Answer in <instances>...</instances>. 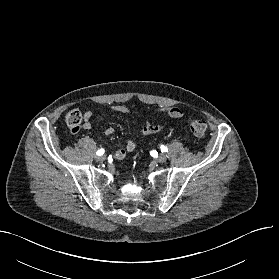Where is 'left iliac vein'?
Segmentation results:
<instances>
[{"label": "left iliac vein", "instance_id": "obj_1", "mask_svg": "<svg viewBox=\"0 0 279 279\" xmlns=\"http://www.w3.org/2000/svg\"><path fill=\"white\" fill-rule=\"evenodd\" d=\"M157 162L164 163L167 161V156L163 153L159 154L156 158Z\"/></svg>", "mask_w": 279, "mask_h": 279}]
</instances>
